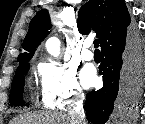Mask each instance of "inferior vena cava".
Segmentation results:
<instances>
[{"mask_svg": "<svg viewBox=\"0 0 145 124\" xmlns=\"http://www.w3.org/2000/svg\"><path fill=\"white\" fill-rule=\"evenodd\" d=\"M77 108L74 111L70 112L71 123L72 124H84L85 114L83 111V102L77 101Z\"/></svg>", "mask_w": 145, "mask_h": 124, "instance_id": "inferior-vena-cava-1", "label": "inferior vena cava"}]
</instances>
